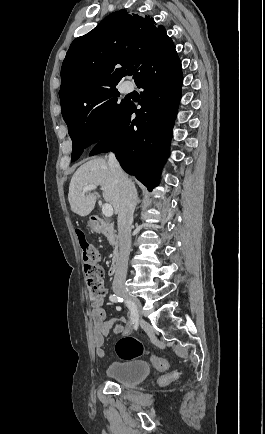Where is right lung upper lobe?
I'll list each match as a JSON object with an SVG mask.
<instances>
[{"label": "right lung upper lobe", "mask_w": 265, "mask_h": 434, "mask_svg": "<svg viewBox=\"0 0 265 434\" xmlns=\"http://www.w3.org/2000/svg\"><path fill=\"white\" fill-rule=\"evenodd\" d=\"M174 48L165 27L153 18L113 12L71 43L61 68L60 100L126 75L136 79L148 63Z\"/></svg>", "instance_id": "cb5924a9"}]
</instances>
